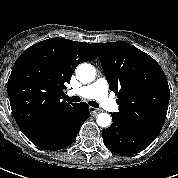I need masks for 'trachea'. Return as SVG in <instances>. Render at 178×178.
Returning <instances> with one entry per match:
<instances>
[{
    "label": "trachea",
    "mask_w": 178,
    "mask_h": 178,
    "mask_svg": "<svg viewBox=\"0 0 178 178\" xmlns=\"http://www.w3.org/2000/svg\"><path fill=\"white\" fill-rule=\"evenodd\" d=\"M63 98L68 101V102H79L80 101V97L79 96H72L69 97L67 95H64ZM88 104L94 108H98L99 104L95 101H89Z\"/></svg>",
    "instance_id": "obj_1"
}]
</instances>
